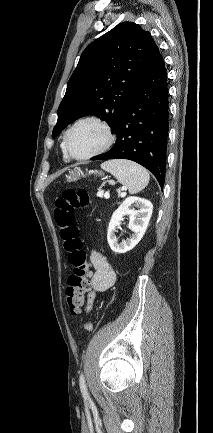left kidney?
<instances>
[{
	"label": "left kidney",
	"mask_w": 213,
	"mask_h": 433,
	"mask_svg": "<svg viewBox=\"0 0 213 433\" xmlns=\"http://www.w3.org/2000/svg\"><path fill=\"white\" fill-rule=\"evenodd\" d=\"M134 207L138 208V210H136ZM152 211L153 205L150 201L135 196L126 198L113 213L109 223L107 241L110 248L115 253L119 254L133 249L144 236L152 215ZM124 215H129L128 227L133 234L129 239L123 240L121 243H119L116 239L115 231L116 228L120 226L122 217Z\"/></svg>",
	"instance_id": "left-kidney-1"
}]
</instances>
